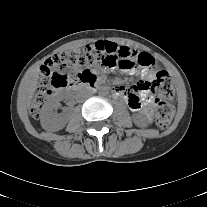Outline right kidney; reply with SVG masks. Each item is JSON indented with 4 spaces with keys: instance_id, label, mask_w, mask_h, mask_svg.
Returning <instances> with one entry per match:
<instances>
[{
    "instance_id": "obj_1",
    "label": "right kidney",
    "mask_w": 207,
    "mask_h": 207,
    "mask_svg": "<svg viewBox=\"0 0 207 207\" xmlns=\"http://www.w3.org/2000/svg\"><path fill=\"white\" fill-rule=\"evenodd\" d=\"M62 94H54L46 103L41 114V126L48 131H57L65 127L67 124V117L58 114L55 109L58 107L59 102L63 100Z\"/></svg>"
}]
</instances>
